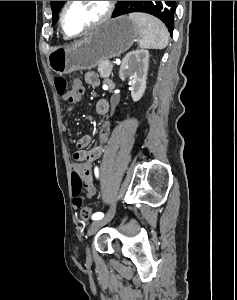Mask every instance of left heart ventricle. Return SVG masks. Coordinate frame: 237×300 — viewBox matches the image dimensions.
I'll return each mask as SVG.
<instances>
[{
  "mask_svg": "<svg viewBox=\"0 0 237 300\" xmlns=\"http://www.w3.org/2000/svg\"><path fill=\"white\" fill-rule=\"evenodd\" d=\"M105 11V1H73L67 8L64 27L74 35L97 21Z\"/></svg>",
  "mask_w": 237,
  "mask_h": 300,
  "instance_id": "left-heart-ventricle-1",
  "label": "left heart ventricle"
}]
</instances>
